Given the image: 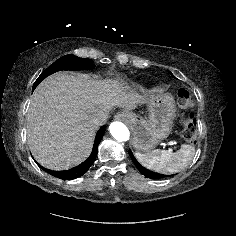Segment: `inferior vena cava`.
Returning <instances> with one entry per match:
<instances>
[{"mask_svg":"<svg viewBox=\"0 0 236 236\" xmlns=\"http://www.w3.org/2000/svg\"><path fill=\"white\" fill-rule=\"evenodd\" d=\"M102 123H103V121H102L101 119L95 118V119H93V121H92V126H93L94 128H98L100 125H102Z\"/></svg>","mask_w":236,"mask_h":236,"instance_id":"inferior-vena-cava-1","label":"inferior vena cava"}]
</instances>
